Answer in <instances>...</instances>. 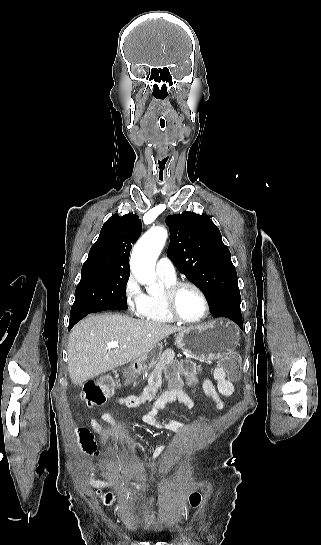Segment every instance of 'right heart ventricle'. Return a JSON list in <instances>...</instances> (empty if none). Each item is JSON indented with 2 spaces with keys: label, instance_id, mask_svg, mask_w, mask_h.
Returning <instances> with one entry per match:
<instances>
[{
  "label": "right heart ventricle",
  "instance_id": "right-heart-ventricle-1",
  "mask_svg": "<svg viewBox=\"0 0 321 545\" xmlns=\"http://www.w3.org/2000/svg\"><path fill=\"white\" fill-rule=\"evenodd\" d=\"M163 285H171L176 282V279H167L161 277ZM141 319L151 324H167L171 323V318L165 312L160 298L147 297V304Z\"/></svg>",
  "mask_w": 321,
  "mask_h": 545
}]
</instances>
